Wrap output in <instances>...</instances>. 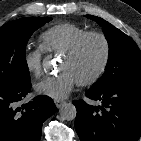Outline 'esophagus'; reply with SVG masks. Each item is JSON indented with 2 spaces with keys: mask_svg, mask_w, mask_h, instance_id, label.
Here are the masks:
<instances>
[{
  "mask_svg": "<svg viewBox=\"0 0 141 141\" xmlns=\"http://www.w3.org/2000/svg\"><path fill=\"white\" fill-rule=\"evenodd\" d=\"M65 104V101L55 100V105L57 108H61Z\"/></svg>",
  "mask_w": 141,
  "mask_h": 141,
  "instance_id": "34e87169",
  "label": "esophagus"
}]
</instances>
